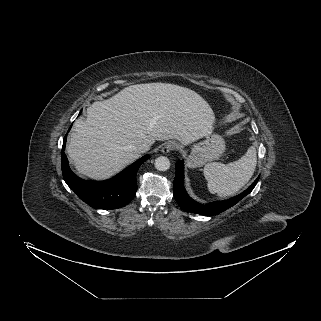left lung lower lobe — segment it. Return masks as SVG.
<instances>
[{
  "label": "left lung lower lobe",
  "mask_w": 321,
  "mask_h": 321,
  "mask_svg": "<svg viewBox=\"0 0 321 321\" xmlns=\"http://www.w3.org/2000/svg\"><path fill=\"white\" fill-rule=\"evenodd\" d=\"M184 164L182 161L176 163V175L173 183L174 197L182 210L191 213H197L204 216H213L219 214L228 208L234 206L242 198L248 195L256 186L259 177L241 194L228 200L203 205L193 200L186 192L184 185Z\"/></svg>",
  "instance_id": "1"
}]
</instances>
